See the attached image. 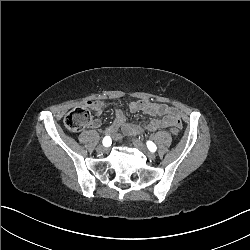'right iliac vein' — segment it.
I'll return each mask as SVG.
<instances>
[{
  "instance_id": "1",
  "label": "right iliac vein",
  "mask_w": 250,
  "mask_h": 250,
  "mask_svg": "<svg viewBox=\"0 0 250 250\" xmlns=\"http://www.w3.org/2000/svg\"><path fill=\"white\" fill-rule=\"evenodd\" d=\"M97 151L100 153H105L108 151V148L105 147L104 145H99V146H97Z\"/></svg>"
}]
</instances>
